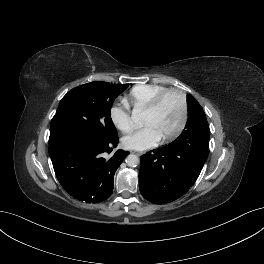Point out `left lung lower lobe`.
I'll return each mask as SVG.
<instances>
[{"mask_svg": "<svg viewBox=\"0 0 264 264\" xmlns=\"http://www.w3.org/2000/svg\"><path fill=\"white\" fill-rule=\"evenodd\" d=\"M209 126L185 130L177 141L140 158L139 189L155 204L172 202L197 180L209 153Z\"/></svg>", "mask_w": 264, "mask_h": 264, "instance_id": "obj_1", "label": "left lung lower lobe"}]
</instances>
